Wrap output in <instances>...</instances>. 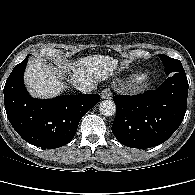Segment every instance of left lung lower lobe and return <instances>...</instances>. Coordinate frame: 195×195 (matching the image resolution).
<instances>
[{
    "mask_svg": "<svg viewBox=\"0 0 195 195\" xmlns=\"http://www.w3.org/2000/svg\"><path fill=\"white\" fill-rule=\"evenodd\" d=\"M188 87L185 72H175L156 90L134 96L115 95L117 111L112 132L116 139L132 148L165 142L185 116Z\"/></svg>",
    "mask_w": 195,
    "mask_h": 195,
    "instance_id": "0a47b994",
    "label": "left lung lower lobe"
}]
</instances>
